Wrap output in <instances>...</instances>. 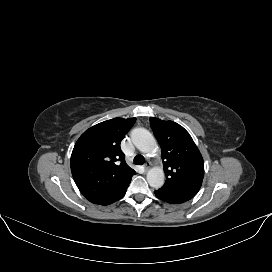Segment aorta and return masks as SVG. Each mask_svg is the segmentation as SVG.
Wrapping results in <instances>:
<instances>
[{
	"mask_svg": "<svg viewBox=\"0 0 272 272\" xmlns=\"http://www.w3.org/2000/svg\"><path fill=\"white\" fill-rule=\"evenodd\" d=\"M131 140L135 147L145 154L153 155L158 151L154 137L144 128H134L131 131ZM164 180L165 175L161 167H153L147 173V181L155 189L161 188Z\"/></svg>",
	"mask_w": 272,
	"mask_h": 272,
	"instance_id": "obj_1",
	"label": "aorta"
}]
</instances>
